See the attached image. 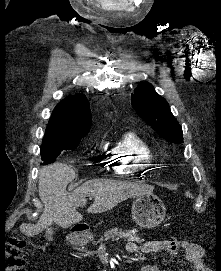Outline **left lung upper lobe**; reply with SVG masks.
I'll return each instance as SVG.
<instances>
[{
	"mask_svg": "<svg viewBox=\"0 0 221 271\" xmlns=\"http://www.w3.org/2000/svg\"><path fill=\"white\" fill-rule=\"evenodd\" d=\"M136 112L164 139L183 142L182 128L170 111L166 100L158 95L150 83H140L131 97Z\"/></svg>",
	"mask_w": 221,
	"mask_h": 271,
	"instance_id": "obj_1",
	"label": "left lung upper lobe"
}]
</instances>
